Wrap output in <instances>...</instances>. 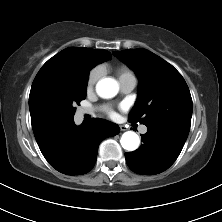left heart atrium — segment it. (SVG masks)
<instances>
[{
    "mask_svg": "<svg viewBox=\"0 0 222 222\" xmlns=\"http://www.w3.org/2000/svg\"><path fill=\"white\" fill-rule=\"evenodd\" d=\"M106 113L111 117H114L116 115L114 109L111 107H106Z\"/></svg>",
    "mask_w": 222,
    "mask_h": 222,
    "instance_id": "39dd6f15",
    "label": "left heart atrium"
}]
</instances>
